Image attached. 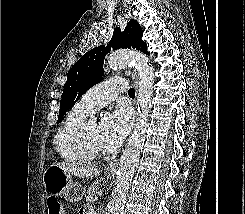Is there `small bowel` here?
I'll return each instance as SVG.
<instances>
[{
    "instance_id": "c3829d8e",
    "label": "small bowel",
    "mask_w": 245,
    "mask_h": 214,
    "mask_svg": "<svg viewBox=\"0 0 245 214\" xmlns=\"http://www.w3.org/2000/svg\"><path fill=\"white\" fill-rule=\"evenodd\" d=\"M78 214H100V213H97L90 205H84L79 209Z\"/></svg>"
}]
</instances>
